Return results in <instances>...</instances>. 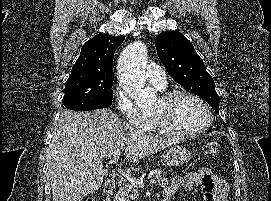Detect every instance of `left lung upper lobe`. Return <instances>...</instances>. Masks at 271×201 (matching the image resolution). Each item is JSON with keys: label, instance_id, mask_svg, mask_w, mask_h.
<instances>
[{"label": "left lung upper lobe", "instance_id": "1", "mask_svg": "<svg viewBox=\"0 0 271 201\" xmlns=\"http://www.w3.org/2000/svg\"><path fill=\"white\" fill-rule=\"evenodd\" d=\"M160 61L170 76L187 90L200 96L218 113L219 97L212 76L196 53L192 43L177 31L155 37Z\"/></svg>", "mask_w": 271, "mask_h": 201}]
</instances>
